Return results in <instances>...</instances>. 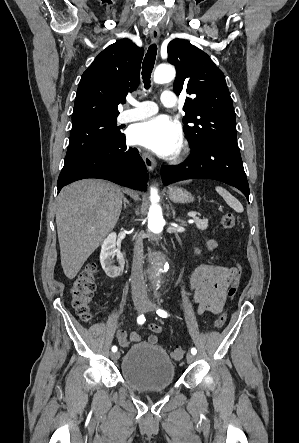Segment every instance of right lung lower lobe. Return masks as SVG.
Instances as JSON below:
<instances>
[{"label":"right lung lower lobe","mask_w":299,"mask_h":443,"mask_svg":"<svg viewBox=\"0 0 299 443\" xmlns=\"http://www.w3.org/2000/svg\"><path fill=\"white\" fill-rule=\"evenodd\" d=\"M85 178L110 180L146 191L148 174L138 150L126 146L125 135L116 142L94 149L64 165L58 178V192L65 185Z\"/></svg>","instance_id":"obj_1"}]
</instances>
